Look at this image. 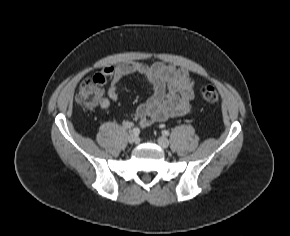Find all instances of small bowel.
<instances>
[{
	"label": "small bowel",
	"mask_w": 290,
	"mask_h": 236,
	"mask_svg": "<svg viewBox=\"0 0 290 236\" xmlns=\"http://www.w3.org/2000/svg\"><path fill=\"white\" fill-rule=\"evenodd\" d=\"M131 75L143 77L152 93L130 115V120L125 121L127 128L133 123L146 127L187 115L192 111L196 81L186 70L161 61L150 64L125 62L108 66L95 74L94 77L109 83L106 93L101 90V96L95 107L106 110L112 102L118 101L119 86L124 78Z\"/></svg>",
	"instance_id": "obj_1"
}]
</instances>
